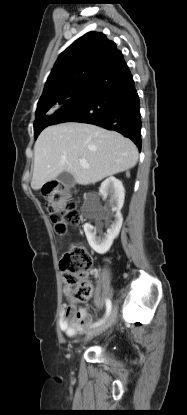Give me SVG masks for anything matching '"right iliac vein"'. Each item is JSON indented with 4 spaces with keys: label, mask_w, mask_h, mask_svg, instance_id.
<instances>
[{
    "label": "right iliac vein",
    "mask_w": 187,
    "mask_h": 415,
    "mask_svg": "<svg viewBox=\"0 0 187 415\" xmlns=\"http://www.w3.org/2000/svg\"><path fill=\"white\" fill-rule=\"evenodd\" d=\"M116 317H117V306L114 305L112 311L110 312V315H109L107 321L104 324L88 331L87 339H90V338H93L97 335H100L105 330H107L109 327H111L114 324V322L116 320Z\"/></svg>",
    "instance_id": "obj_1"
}]
</instances>
